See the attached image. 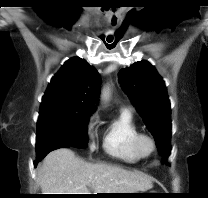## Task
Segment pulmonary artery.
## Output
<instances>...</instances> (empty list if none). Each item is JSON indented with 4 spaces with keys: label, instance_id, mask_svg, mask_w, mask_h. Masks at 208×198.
<instances>
[{
    "label": "pulmonary artery",
    "instance_id": "obj_1",
    "mask_svg": "<svg viewBox=\"0 0 208 198\" xmlns=\"http://www.w3.org/2000/svg\"><path fill=\"white\" fill-rule=\"evenodd\" d=\"M123 110H127V111H129V109H127V108H125V109H123ZM130 112V111H129Z\"/></svg>",
    "mask_w": 208,
    "mask_h": 198
}]
</instances>
